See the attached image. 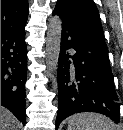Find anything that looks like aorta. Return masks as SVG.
<instances>
[{
    "mask_svg": "<svg viewBox=\"0 0 123 130\" xmlns=\"http://www.w3.org/2000/svg\"><path fill=\"white\" fill-rule=\"evenodd\" d=\"M62 20L59 16L50 19L46 36L47 74L52 76L58 68L61 46Z\"/></svg>",
    "mask_w": 123,
    "mask_h": 130,
    "instance_id": "762f6f07",
    "label": "aorta"
}]
</instances>
